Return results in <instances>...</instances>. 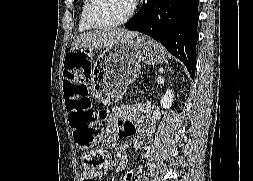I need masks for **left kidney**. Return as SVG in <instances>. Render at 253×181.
<instances>
[{"label": "left kidney", "instance_id": "5707ae66", "mask_svg": "<svg viewBox=\"0 0 253 181\" xmlns=\"http://www.w3.org/2000/svg\"><path fill=\"white\" fill-rule=\"evenodd\" d=\"M173 98H174V93L172 90L167 89L165 95L161 98L160 104L163 106V108L167 109L172 106L173 103Z\"/></svg>", "mask_w": 253, "mask_h": 181}]
</instances>
